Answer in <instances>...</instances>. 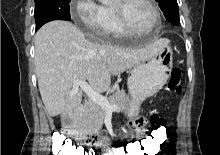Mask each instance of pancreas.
I'll return each mask as SVG.
<instances>
[{"instance_id": "cf45deb5", "label": "pancreas", "mask_w": 220, "mask_h": 155, "mask_svg": "<svg viewBox=\"0 0 220 155\" xmlns=\"http://www.w3.org/2000/svg\"><path fill=\"white\" fill-rule=\"evenodd\" d=\"M108 101L112 105H117L118 110L124 111L129 103V98L123 91H118L114 96L108 98ZM105 114L106 110L97 103L90 101L81 118V127L88 132L97 133L103 124Z\"/></svg>"}]
</instances>
